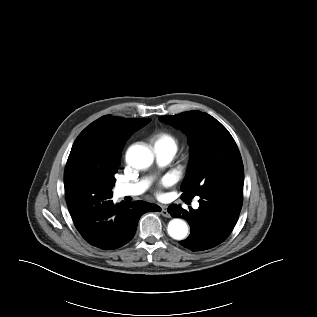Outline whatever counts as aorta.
<instances>
[{"mask_svg":"<svg viewBox=\"0 0 317 317\" xmlns=\"http://www.w3.org/2000/svg\"><path fill=\"white\" fill-rule=\"evenodd\" d=\"M126 160L134 169H146L152 165L154 155L147 146L133 145L126 153ZM167 231L173 239L182 240L187 236L188 226L182 219L175 218L169 222Z\"/></svg>","mask_w":317,"mask_h":317,"instance_id":"762f6f07","label":"aorta"}]
</instances>
